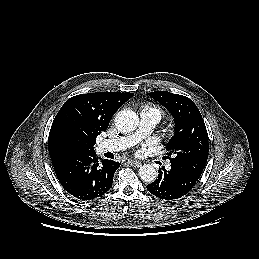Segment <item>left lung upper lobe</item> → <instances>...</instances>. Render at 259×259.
Instances as JSON below:
<instances>
[{
    "mask_svg": "<svg viewBox=\"0 0 259 259\" xmlns=\"http://www.w3.org/2000/svg\"><path fill=\"white\" fill-rule=\"evenodd\" d=\"M172 114L175 132L167 144L171 164L199 178L208 159V134L199 109L191 99L165 91L148 93Z\"/></svg>",
    "mask_w": 259,
    "mask_h": 259,
    "instance_id": "1",
    "label": "left lung upper lobe"
}]
</instances>
